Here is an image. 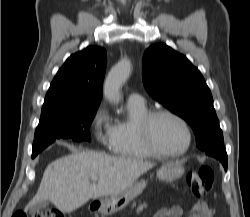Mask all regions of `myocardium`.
<instances>
[{
    "mask_svg": "<svg viewBox=\"0 0 250 217\" xmlns=\"http://www.w3.org/2000/svg\"><path fill=\"white\" fill-rule=\"evenodd\" d=\"M160 116H168L178 121L187 135L186 146L176 152H165L158 147L153 136V123ZM139 132L145 146L156 156L161 158H174L184 155L192 145V131L187 121L179 114L164 108L149 111L139 122Z\"/></svg>",
    "mask_w": 250,
    "mask_h": 217,
    "instance_id": "myocardium-1",
    "label": "myocardium"
}]
</instances>
